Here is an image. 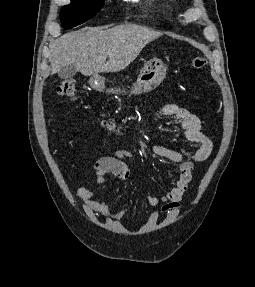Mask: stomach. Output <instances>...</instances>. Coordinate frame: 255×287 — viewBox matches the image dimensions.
<instances>
[{
    "instance_id": "stomach-1",
    "label": "stomach",
    "mask_w": 255,
    "mask_h": 287,
    "mask_svg": "<svg viewBox=\"0 0 255 287\" xmlns=\"http://www.w3.org/2000/svg\"><path fill=\"white\" fill-rule=\"evenodd\" d=\"M166 76L165 68H155V70H142L140 76L137 78L136 84H134L131 94H143V92H150L157 88L161 82H163ZM93 90L97 92H104L106 90L107 94H121L119 88H106L105 82L101 76L95 74L90 78L89 82Z\"/></svg>"
}]
</instances>
